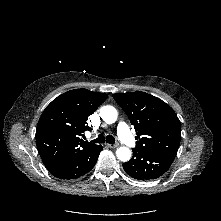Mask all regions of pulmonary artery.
Segmentation results:
<instances>
[{"label": "pulmonary artery", "mask_w": 221, "mask_h": 221, "mask_svg": "<svg viewBox=\"0 0 221 221\" xmlns=\"http://www.w3.org/2000/svg\"><path fill=\"white\" fill-rule=\"evenodd\" d=\"M118 135L120 139L130 147H134L136 145L135 140L131 137L128 126L124 122H120L118 124Z\"/></svg>", "instance_id": "pulmonary-artery-1"}]
</instances>
